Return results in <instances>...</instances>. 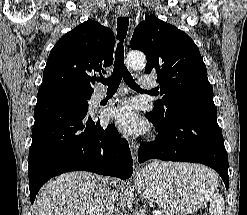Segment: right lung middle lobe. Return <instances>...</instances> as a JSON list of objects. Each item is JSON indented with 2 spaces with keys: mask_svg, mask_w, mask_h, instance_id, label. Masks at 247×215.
<instances>
[{
  "mask_svg": "<svg viewBox=\"0 0 247 215\" xmlns=\"http://www.w3.org/2000/svg\"><path fill=\"white\" fill-rule=\"evenodd\" d=\"M45 91L64 101L73 103L84 109H88L87 100L91 98L90 95H84V94H80V93H77L71 90L62 89V88H49V89H46Z\"/></svg>",
  "mask_w": 247,
  "mask_h": 215,
  "instance_id": "obj_1",
  "label": "right lung middle lobe"
}]
</instances>
